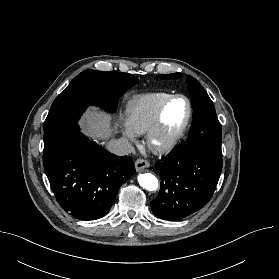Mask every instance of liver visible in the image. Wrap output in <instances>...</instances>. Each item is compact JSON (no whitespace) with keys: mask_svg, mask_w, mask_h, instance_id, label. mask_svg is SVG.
Wrapping results in <instances>:
<instances>
[{"mask_svg":"<svg viewBox=\"0 0 279 279\" xmlns=\"http://www.w3.org/2000/svg\"><path fill=\"white\" fill-rule=\"evenodd\" d=\"M83 122H86V125H82V131L95 141L108 140L112 132L116 129V125L114 129L111 128L109 116L94 107H91L85 113Z\"/></svg>","mask_w":279,"mask_h":279,"instance_id":"liver-1","label":"liver"}]
</instances>
